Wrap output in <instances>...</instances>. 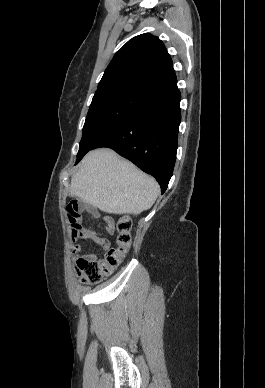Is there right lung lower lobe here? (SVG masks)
Here are the masks:
<instances>
[{
  "label": "right lung lower lobe",
  "instance_id": "right-lung-lower-lobe-1",
  "mask_svg": "<svg viewBox=\"0 0 265 388\" xmlns=\"http://www.w3.org/2000/svg\"><path fill=\"white\" fill-rule=\"evenodd\" d=\"M180 100L177 85L150 96L92 149H114L155 177L164 193L176 160L181 121Z\"/></svg>",
  "mask_w": 265,
  "mask_h": 388
}]
</instances>
